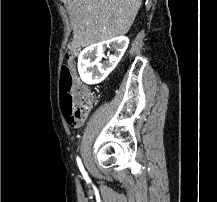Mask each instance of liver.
Segmentation results:
<instances>
[{"label":"liver","mask_w":217,"mask_h":202,"mask_svg":"<svg viewBox=\"0 0 217 202\" xmlns=\"http://www.w3.org/2000/svg\"><path fill=\"white\" fill-rule=\"evenodd\" d=\"M73 46H92L129 32L142 0H64Z\"/></svg>","instance_id":"6515ba94"}]
</instances>
